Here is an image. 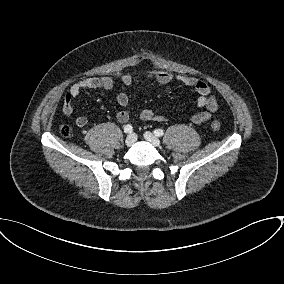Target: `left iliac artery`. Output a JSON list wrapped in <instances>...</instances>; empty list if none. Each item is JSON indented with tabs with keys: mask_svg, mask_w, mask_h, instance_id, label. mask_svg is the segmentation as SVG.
Returning <instances> with one entry per match:
<instances>
[{
	"mask_svg": "<svg viewBox=\"0 0 284 284\" xmlns=\"http://www.w3.org/2000/svg\"><path fill=\"white\" fill-rule=\"evenodd\" d=\"M154 134H155L156 136H158V137H161V136H163L164 131H163L162 129H156V130L154 131Z\"/></svg>",
	"mask_w": 284,
	"mask_h": 284,
	"instance_id": "44dca946",
	"label": "left iliac artery"
}]
</instances>
